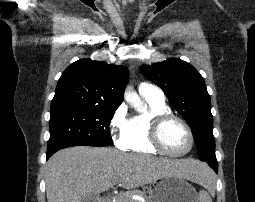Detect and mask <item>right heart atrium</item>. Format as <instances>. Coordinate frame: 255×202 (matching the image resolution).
Returning <instances> with one entry per match:
<instances>
[{"label": "right heart atrium", "mask_w": 255, "mask_h": 202, "mask_svg": "<svg viewBox=\"0 0 255 202\" xmlns=\"http://www.w3.org/2000/svg\"><path fill=\"white\" fill-rule=\"evenodd\" d=\"M127 108L124 104L119 105L109 121V131L114 144L118 148L126 147Z\"/></svg>", "instance_id": "d8ad5b80"}]
</instances>
